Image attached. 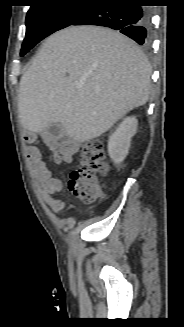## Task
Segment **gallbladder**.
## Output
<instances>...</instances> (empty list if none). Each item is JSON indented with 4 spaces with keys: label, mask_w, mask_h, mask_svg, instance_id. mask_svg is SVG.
I'll use <instances>...</instances> for the list:
<instances>
[{
    "label": "gallbladder",
    "mask_w": 184,
    "mask_h": 327,
    "mask_svg": "<svg viewBox=\"0 0 184 327\" xmlns=\"http://www.w3.org/2000/svg\"><path fill=\"white\" fill-rule=\"evenodd\" d=\"M46 134L55 138H60L65 135V129L60 123L51 124L48 127Z\"/></svg>",
    "instance_id": "gallbladder-1"
}]
</instances>
